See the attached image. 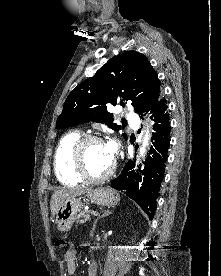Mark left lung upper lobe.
I'll list each match as a JSON object with an SVG mask.
<instances>
[{"mask_svg": "<svg viewBox=\"0 0 221 276\" xmlns=\"http://www.w3.org/2000/svg\"><path fill=\"white\" fill-rule=\"evenodd\" d=\"M160 80L147 57L136 51H126L112 57L93 77L81 82L67 97L57 128H66L93 121L113 130L121 126L107 111L110 105L125 107L131 100L135 111H150L162 97ZM127 139L126 134H123Z\"/></svg>", "mask_w": 221, "mask_h": 276, "instance_id": "1", "label": "left lung upper lobe"}]
</instances>
